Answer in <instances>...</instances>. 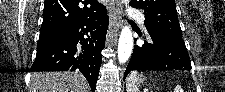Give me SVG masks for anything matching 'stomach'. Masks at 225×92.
Wrapping results in <instances>:
<instances>
[{"label":"stomach","instance_id":"obj_1","mask_svg":"<svg viewBox=\"0 0 225 92\" xmlns=\"http://www.w3.org/2000/svg\"><path fill=\"white\" fill-rule=\"evenodd\" d=\"M137 78H138V80H137V83H138V84L144 83L145 77H144L143 75H139Z\"/></svg>","mask_w":225,"mask_h":92}]
</instances>
